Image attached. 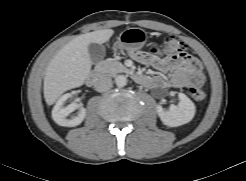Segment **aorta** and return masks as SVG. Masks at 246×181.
<instances>
[{"label": "aorta", "instance_id": "obj_1", "mask_svg": "<svg viewBox=\"0 0 246 181\" xmlns=\"http://www.w3.org/2000/svg\"><path fill=\"white\" fill-rule=\"evenodd\" d=\"M115 83L118 87H124L127 84V78L124 75H118L115 78Z\"/></svg>", "mask_w": 246, "mask_h": 181}]
</instances>
